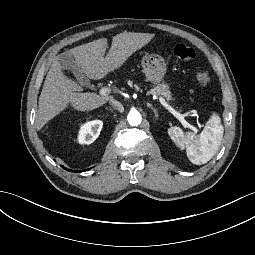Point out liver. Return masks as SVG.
Here are the masks:
<instances>
[{
  "label": "liver",
  "instance_id": "6515ba94",
  "mask_svg": "<svg viewBox=\"0 0 255 255\" xmlns=\"http://www.w3.org/2000/svg\"><path fill=\"white\" fill-rule=\"evenodd\" d=\"M155 34L121 32L113 36L111 49L106 58L108 38H100L67 51L87 78L100 81L119 70L138 50L146 46ZM83 87L68 77L58 59L48 71L38 102L35 127L40 131L50 120L69 107L77 112L93 111L114 98L94 93H82Z\"/></svg>",
  "mask_w": 255,
  "mask_h": 255
}]
</instances>
